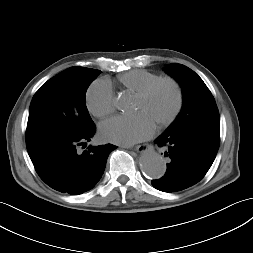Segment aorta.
I'll use <instances>...</instances> for the list:
<instances>
[{"label": "aorta", "instance_id": "1", "mask_svg": "<svg viewBox=\"0 0 253 253\" xmlns=\"http://www.w3.org/2000/svg\"><path fill=\"white\" fill-rule=\"evenodd\" d=\"M115 106L121 111H127L131 108L129 97L120 96L115 101ZM141 171L151 179H159L166 172V163L162 156L153 149L146 150L139 159Z\"/></svg>", "mask_w": 253, "mask_h": 253}]
</instances>
